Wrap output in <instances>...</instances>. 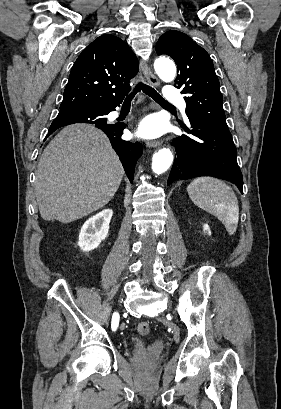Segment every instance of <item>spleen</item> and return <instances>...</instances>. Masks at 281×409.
Wrapping results in <instances>:
<instances>
[{
  "label": "spleen",
  "instance_id": "obj_1",
  "mask_svg": "<svg viewBox=\"0 0 281 409\" xmlns=\"http://www.w3.org/2000/svg\"><path fill=\"white\" fill-rule=\"evenodd\" d=\"M187 192L194 205L208 211L223 223L229 235L236 233L239 207L237 196L231 186L219 178L200 176L188 184Z\"/></svg>",
  "mask_w": 281,
  "mask_h": 409
}]
</instances>
